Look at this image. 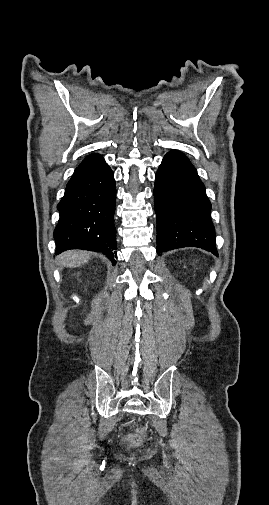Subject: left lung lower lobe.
<instances>
[{
  "label": "left lung lower lobe",
  "mask_w": 269,
  "mask_h": 505,
  "mask_svg": "<svg viewBox=\"0 0 269 505\" xmlns=\"http://www.w3.org/2000/svg\"><path fill=\"white\" fill-rule=\"evenodd\" d=\"M157 252L198 247L217 254L211 203L196 169L181 152L167 153L155 177Z\"/></svg>",
  "instance_id": "0a47b994"
}]
</instances>
